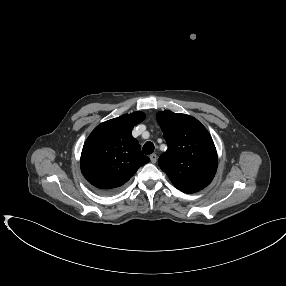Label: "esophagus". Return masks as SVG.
Wrapping results in <instances>:
<instances>
[{
	"label": "esophagus",
	"mask_w": 286,
	"mask_h": 286,
	"mask_svg": "<svg viewBox=\"0 0 286 286\" xmlns=\"http://www.w3.org/2000/svg\"><path fill=\"white\" fill-rule=\"evenodd\" d=\"M150 160L152 163H156L157 162V155L156 154H151L150 155Z\"/></svg>",
	"instance_id": "esophagus-1"
}]
</instances>
